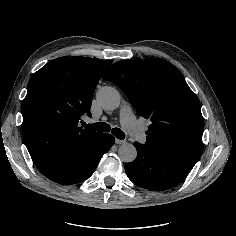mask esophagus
Returning <instances> with one entry per match:
<instances>
[{"label":"esophagus","instance_id":"obj_1","mask_svg":"<svg viewBox=\"0 0 236 236\" xmlns=\"http://www.w3.org/2000/svg\"><path fill=\"white\" fill-rule=\"evenodd\" d=\"M124 142H125L124 140H120V139H117V138L115 139L116 144L120 145V144H123Z\"/></svg>","mask_w":236,"mask_h":236}]
</instances>
